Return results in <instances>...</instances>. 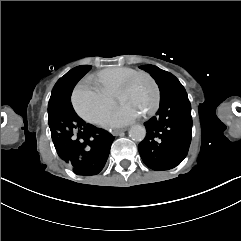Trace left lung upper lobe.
Instances as JSON below:
<instances>
[{
	"label": "left lung upper lobe",
	"mask_w": 241,
	"mask_h": 241,
	"mask_svg": "<svg viewBox=\"0 0 241 241\" xmlns=\"http://www.w3.org/2000/svg\"><path fill=\"white\" fill-rule=\"evenodd\" d=\"M141 69L149 72L151 76L156 80L159 89L160 97L163 98L173 91L184 89L179 80L169 72L161 70L154 65H143Z\"/></svg>",
	"instance_id": "1"
}]
</instances>
